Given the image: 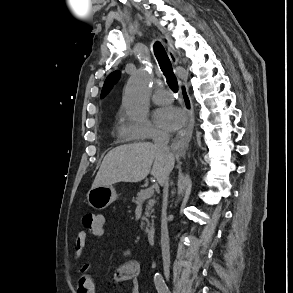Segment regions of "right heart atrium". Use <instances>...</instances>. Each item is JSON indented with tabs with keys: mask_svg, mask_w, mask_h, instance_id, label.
Here are the masks:
<instances>
[{
	"mask_svg": "<svg viewBox=\"0 0 293 293\" xmlns=\"http://www.w3.org/2000/svg\"><path fill=\"white\" fill-rule=\"evenodd\" d=\"M123 134L127 139H155L165 137L166 133L157 128L150 120L129 119L124 112L120 113Z\"/></svg>",
	"mask_w": 293,
	"mask_h": 293,
	"instance_id": "right-heart-atrium-1",
	"label": "right heart atrium"
}]
</instances>
